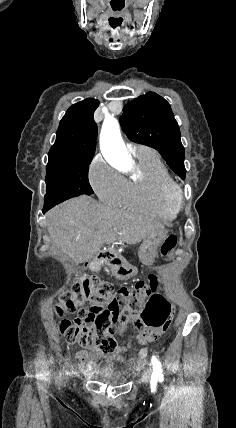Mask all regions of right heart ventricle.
Wrapping results in <instances>:
<instances>
[{"instance_id": "e07e8e85", "label": "right heart ventricle", "mask_w": 236, "mask_h": 428, "mask_svg": "<svg viewBox=\"0 0 236 428\" xmlns=\"http://www.w3.org/2000/svg\"><path fill=\"white\" fill-rule=\"evenodd\" d=\"M127 158L135 172L125 180L122 204L162 221L174 220L177 210L166 206L160 196L161 185L173 177L156 152L140 146Z\"/></svg>"}]
</instances>
